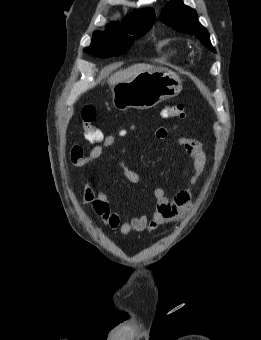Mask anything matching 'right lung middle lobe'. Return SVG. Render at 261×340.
<instances>
[{"instance_id":"1","label":"right lung middle lobe","mask_w":261,"mask_h":340,"mask_svg":"<svg viewBox=\"0 0 261 340\" xmlns=\"http://www.w3.org/2000/svg\"><path fill=\"white\" fill-rule=\"evenodd\" d=\"M153 22L144 23H112L107 25L106 32L96 31L93 33L92 43L90 47L84 49L96 56H115L124 54L133 41L144 35L153 25ZM116 28L120 31H125L132 36L118 33Z\"/></svg>"}]
</instances>
